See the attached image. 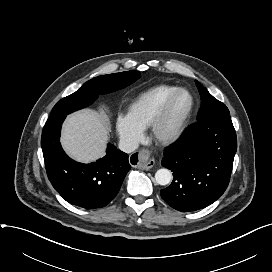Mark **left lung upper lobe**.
Masks as SVG:
<instances>
[{"label": "left lung upper lobe", "mask_w": 272, "mask_h": 272, "mask_svg": "<svg viewBox=\"0 0 272 272\" xmlns=\"http://www.w3.org/2000/svg\"><path fill=\"white\" fill-rule=\"evenodd\" d=\"M195 83L201 96V108L197 115V122L220 115H230L225 104L215 99L198 81Z\"/></svg>", "instance_id": "1"}]
</instances>
